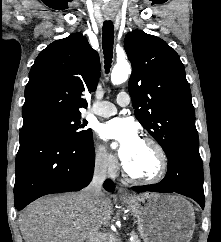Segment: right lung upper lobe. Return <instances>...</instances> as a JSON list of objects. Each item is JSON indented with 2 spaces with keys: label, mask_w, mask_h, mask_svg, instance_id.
<instances>
[{
  "label": "right lung upper lobe",
  "mask_w": 221,
  "mask_h": 242,
  "mask_svg": "<svg viewBox=\"0 0 221 242\" xmlns=\"http://www.w3.org/2000/svg\"><path fill=\"white\" fill-rule=\"evenodd\" d=\"M98 53L80 33L56 40L36 58L26 85L23 126L81 114L83 92H93L100 77Z\"/></svg>",
  "instance_id": "cb5924a9"
}]
</instances>
